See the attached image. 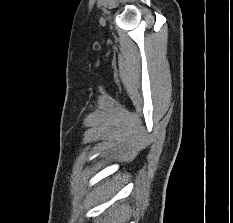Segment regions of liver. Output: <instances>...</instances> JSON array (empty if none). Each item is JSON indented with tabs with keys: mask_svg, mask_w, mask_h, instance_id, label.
Returning a JSON list of instances; mask_svg holds the SVG:
<instances>
[{
	"mask_svg": "<svg viewBox=\"0 0 233 223\" xmlns=\"http://www.w3.org/2000/svg\"><path fill=\"white\" fill-rule=\"evenodd\" d=\"M107 191H108V187H104V191H103V193H101V195H105V193H107Z\"/></svg>",
	"mask_w": 233,
	"mask_h": 223,
	"instance_id": "1",
	"label": "liver"
}]
</instances>
